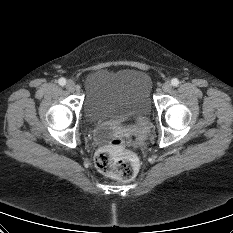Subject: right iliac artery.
Instances as JSON below:
<instances>
[{"mask_svg":"<svg viewBox=\"0 0 233 233\" xmlns=\"http://www.w3.org/2000/svg\"><path fill=\"white\" fill-rule=\"evenodd\" d=\"M59 85L64 86L66 84V79L65 78H60L58 80Z\"/></svg>","mask_w":233,"mask_h":233,"instance_id":"right-iliac-artery-1","label":"right iliac artery"}]
</instances>
